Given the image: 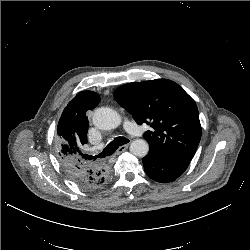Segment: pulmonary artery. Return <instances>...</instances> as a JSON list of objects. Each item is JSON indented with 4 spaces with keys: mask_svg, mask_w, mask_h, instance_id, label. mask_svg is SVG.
<instances>
[{
    "mask_svg": "<svg viewBox=\"0 0 250 250\" xmlns=\"http://www.w3.org/2000/svg\"><path fill=\"white\" fill-rule=\"evenodd\" d=\"M125 128L128 132L135 135L141 132V129L134 122L130 120L125 121Z\"/></svg>",
    "mask_w": 250,
    "mask_h": 250,
    "instance_id": "pulmonary-artery-1",
    "label": "pulmonary artery"
}]
</instances>
